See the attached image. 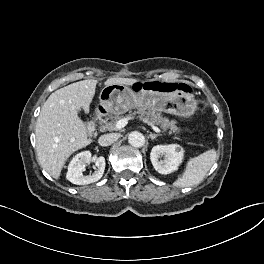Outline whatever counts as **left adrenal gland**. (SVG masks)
Listing matches in <instances>:
<instances>
[{
    "instance_id": "left-adrenal-gland-1",
    "label": "left adrenal gland",
    "mask_w": 264,
    "mask_h": 264,
    "mask_svg": "<svg viewBox=\"0 0 264 264\" xmlns=\"http://www.w3.org/2000/svg\"><path fill=\"white\" fill-rule=\"evenodd\" d=\"M149 136H150V138H151L152 140H154V139H156L158 136H161V135H160V134H153V133H150Z\"/></svg>"
}]
</instances>
